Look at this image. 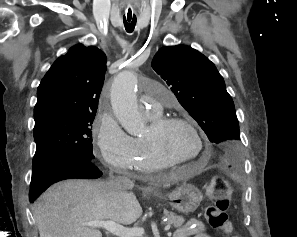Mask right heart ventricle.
Returning <instances> with one entry per match:
<instances>
[{"mask_svg":"<svg viewBox=\"0 0 297 237\" xmlns=\"http://www.w3.org/2000/svg\"><path fill=\"white\" fill-rule=\"evenodd\" d=\"M150 119L153 120L157 116L149 115ZM134 143V163L133 169L143 173L154 172L168 168L159 164L155 158L151 155L143 137L133 138Z\"/></svg>","mask_w":297,"mask_h":237,"instance_id":"right-heart-ventricle-1","label":"right heart ventricle"}]
</instances>
